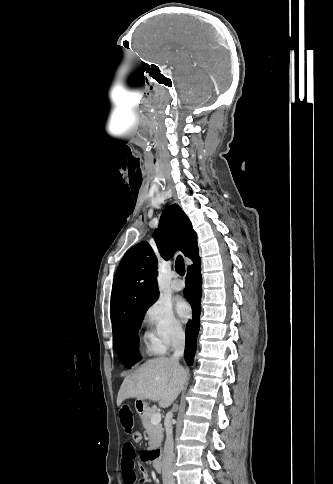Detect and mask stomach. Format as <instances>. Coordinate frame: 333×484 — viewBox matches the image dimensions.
I'll list each match as a JSON object with an SVG mask.
<instances>
[{
  "mask_svg": "<svg viewBox=\"0 0 333 484\" xmlns=\"http://www.w3.org/2000/svg\"><path fill=\"white\" fill-rule=\"evenodd\" d=\"M135 407H136L137 413L139 415H143L148 409V404L144 400H137L135 402Z\"/></svg>",
  "mask_w": 333,
  "mask_h": 484,
  "instance_id": "obj_1",
  "label": "stomach"
}]
</instances>
